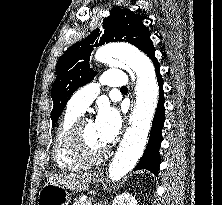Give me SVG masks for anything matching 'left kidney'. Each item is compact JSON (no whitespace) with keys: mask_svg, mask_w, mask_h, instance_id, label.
Instances as JSON below:
<instances>
[{"mask_svg":"<svg viewBox=\"0 0 222 205\" xmlns=\"http://www.w3.org/2000/svg\"><path fill=\"white\" fill-rule=\"evenodd\" d=\"M112 205H137V201L131 194L123 193L114 199Z\"/></svg>","mask_w":222,"mask_h":205,"instance_id":"5707ae66","label":"left kidney"}]
</instances>
